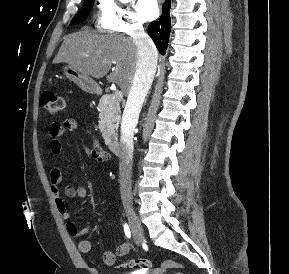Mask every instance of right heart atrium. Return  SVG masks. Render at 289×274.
<instances>
[{"label": "right heart atrium", "instance_id": "1", "mask_svg": "<svg viewBox=\"0 0 289 274\" xmlns=\"http://www.w3.org/2000/svg\"><path fill=\"white\" fill-rule=\"evenodd\" d=\"M97 24L101 30L126 35H135L143 29L141 20L131 7L117 0H99Z\"/></svg>", "mask_w": 289, "mask_h": 274}]
</instances>
